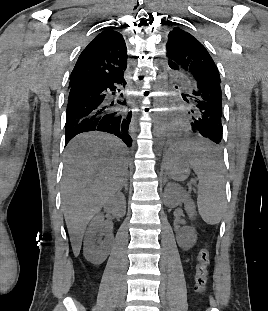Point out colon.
<instances>
[{
    "label": "colon",
    "mask_w": 268,
    "mask_h": 311,
    "mask_svg": "<svg viewBox=\"0 0 268 311\" xmlns=\"http://www.w3.org/2000/svg\"><path fill=\"white\" fill-rule=\"evenodd\" d=\"M209 264L210 251L207 246H203L197 256V265L195 272L194 290L199 294H202L205 291Z\"/></svg>",
    "instance_id": "obj_1"
}]
</instances>
